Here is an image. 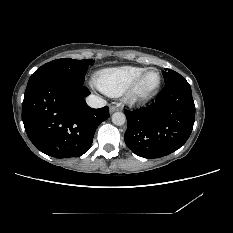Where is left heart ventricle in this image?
Segmentation results:
<instances>
[{"label": "left heart ventricle", "instance_id": "1", "mask_svg": "<svg viewBox=\"0 0 233 233\" xmlns=\"http://www.w3.org/2000/svg\"><path fill=\"white\" fill-rule=\"evenodd\" d=\"M157 82H158L157 72L154 70L148 72L139 86V92L141 94H146L150 92L156 86Z\"/></svg>", "mask_w": 233, "mask_h": 233}]
</instances>
